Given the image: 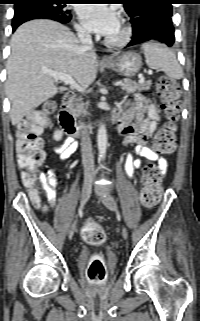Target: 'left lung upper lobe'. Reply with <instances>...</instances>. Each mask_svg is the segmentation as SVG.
Segmentation results:
<instances>
[{
	"mask_svg": "<svg viewBox=\"0 0 200 321\" xmlns=\"http://www.w3.org/2000/svg\"><path fill=\"white\" fill-rule=\"evenodd\" d=\"M125 11L130 18H135L150 12H163L172 16L174 0H122Z\"/></svg>",
	"mask_w": 200,
	"mask_h": 321,
	"instance_id": "5c2ea615",
	"label": "left lung upper lobe"
}]
</instances>
